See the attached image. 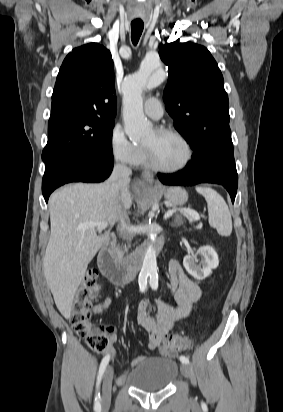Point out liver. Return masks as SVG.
<instances>
[{
  "mask_svg": "<svg viewBox=\"0 0 283 412\" xmlns=\"http://www.w3.org/2000/svg\"><path fill=\"white\" fill-rule=\"evenodd\" d=\"M129 182L73 184L49 199L51 233L43 271L55 304L66 319L71 316L74 295L88 264L118 222V205L125 210L132 205ZM89 222H106L109 229L104 234H97L95 228L80 229Z\"/></svg>",
  "mask_w": 283,
  "mask_h": 412,
  "instance_id": "liver-1",
  "label": "liver"
}]
</instances>
